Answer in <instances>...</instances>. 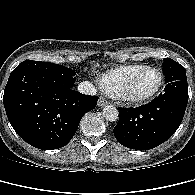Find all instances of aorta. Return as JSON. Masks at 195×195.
Here are the masks:
<instances>
[{
    "label": "aorta",
    "mask_w": 195,
    "mask_h": 195,
    "mask_svg": "<svg viewBox=\"0 0 195 195\" xmlns=\"http://www.w3.org/2000/svg\"><path fill=\"white\" fill-rule=\"evenodd\" d=\"M103 117L110 122H115L119 118L118 109L115 106L107 105L103 108Z\"/></svg>",
    "instance_id": "obj_1"
}]
</instances>
